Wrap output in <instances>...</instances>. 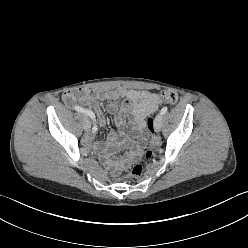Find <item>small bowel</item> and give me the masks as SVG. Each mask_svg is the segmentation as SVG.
<instances>
[{"instance_id": "c3829d8e", "label": "small bowel", "mask_w": 248, "mask_h": 248, "mask_svg": "<svg viewBox=\"0 0 248 248\" xmlns=\"http://www.w3.org/2000/svg\"><path fill=\"white\" fill-rule=\"evenodd\" d=\"M120 97L125 98V101L122 104H119L118 102ZM62 99L68 106H71L78 101L87 106L93 107L99 124L102 126L106 124V118L95 101H107V110L115 116L114 121L118 131L111 133L105 144H100L94 142L93 136L95 131L91 130L86 133L84 142L86 145L92 146L104 154H109L120 146L129 148L130 151L127 157L119 161H115V165L130 163L137 157L140 150V144L136 142L135 139L143 138V129L145 127L146 117L154 113L162 103L154 93L147 90L135 89L105 91L80 89L65 92ZM128 115H131L132 117L131 136H127L123 132Z\"/></svg>"}]
</instances>
